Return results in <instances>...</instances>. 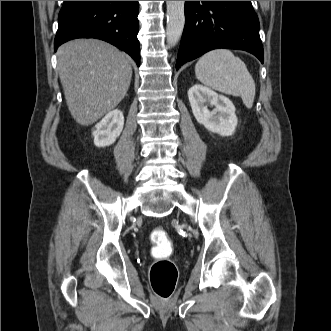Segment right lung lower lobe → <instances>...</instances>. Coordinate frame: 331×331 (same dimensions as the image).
I'll list each match as a JSON object with an SVG mask.
<instances>
[{"mask_svg": "<svg viewBox=\"0 0 331 331\" xmlns=\"http://www.w3.org/2000/svg\"><path fill=\"white\" fill-rule=\"evenodd\" d=\"M138 1H64L54 49L76 38H97L128 53L140 65Z\"/></svg>", "mask_w": 331, "mask_h": 331, "instance_id": "right-lung-lower-lobe-1", "label": "right lung lower lobe"}]
</instances>
